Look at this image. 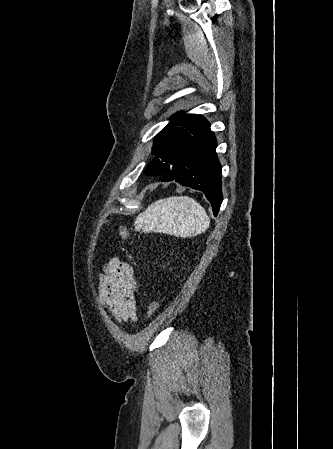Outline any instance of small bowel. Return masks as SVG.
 Listing matches in <instances>:
<instances>
[{"label": "small bowel", "mask_w": 333, "mask_h": 449, "mask_svg": "<svg viewBox=\"0 0 333 449\" xmlns=\"http://www.w3.org/2000/svg\"><path fill=\"white\" fill-rule=\"evenodd\" d=\"M136 293L133 268L118 258L111 259L100 276L99 295L116 320H136Z\"/></svg>", "instance_id": "obj_1"}]
</instances>
